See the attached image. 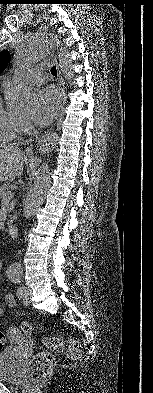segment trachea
<instances>
[{"label": "trachea", "mask_w": 153, "mask_h": 393, "mask_svg": "<svg viewBox=\"0 0 153 393\" xmlns=\"http://www.w3.org/2000/svg\"><path fill=\"white\" fill-rule=\"evenodd\" d=\"M51 74H52L53 76H57V69H56V66H53V67L51 68Z\"/></svg>", "instance_id": "3493384b"}]
</instances>
